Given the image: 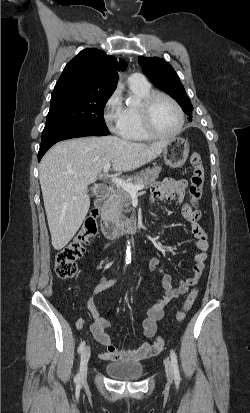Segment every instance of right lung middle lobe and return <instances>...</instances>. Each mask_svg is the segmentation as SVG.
<instances>
[{
	"instance_id": "dd1d6c3e",
	"label": "right lung middle lobe",
	"mask_w": 250,
	"mask_h": 413,
	"mask_svg": "<svg viewBox=\"0 0 250 413\" xmlns=\"http://www.w3.org/2000/svg\"><path fill=\"white\" fill-rule=\"evenodd\" d=\"M112 93L74 85L55 88L42 140L74 128L108 131L103 110Z\"/></svg>"
}]
</instances>
